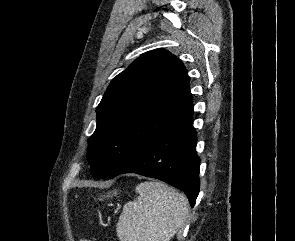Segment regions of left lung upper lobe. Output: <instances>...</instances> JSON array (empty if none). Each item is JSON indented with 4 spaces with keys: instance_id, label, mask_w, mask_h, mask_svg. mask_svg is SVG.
<instances>
[{
    "instance_id": "5c2ea615",
    "label": "left lung upper lobe",
    "mask_w": 295,
    "mask_h": 241,
    "mask_svg": "<svg viewBox=\"0 0 295 241\" xmlns=\"http://www.w3.org/2000/svg\"><path fill=\"white\" fill-rule=\"evenodd\" d=\"M88 139L92 173L110 179L150 141L193 113L189 77L170 52L142 54L110 83Z\"/></svg>"
}]
</instances>
